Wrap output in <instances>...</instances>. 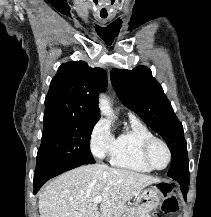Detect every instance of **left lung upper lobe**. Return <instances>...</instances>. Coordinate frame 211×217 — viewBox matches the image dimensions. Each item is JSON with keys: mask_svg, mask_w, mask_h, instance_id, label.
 <instances>
[{"mask_svg": "<svg viewBox=\"0 0 211 217\" xmlns=\"http://www.w3.org/2000/svg\"><path fill=\"white\" fill-rule=\"evenodd\" d=\"M111 82L122 103L135 111L143 121L166 141L172 155L168 176L189 180L187 145L183 127L151 70L138 66L113 69Z\"/></svg>", "mask_w": 211, "mask_h": 217, "instance_id": "5c2ea615", "label": "left lung upper lobe"}]
</instances>
